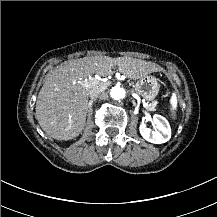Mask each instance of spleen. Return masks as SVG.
Listing matches in <instances>:
<instances>
[{"instance_id":"3e777b00","label":"spleen","mask_w":217,"mask_h":217,"mask_svg":"<svg viewBox=\"0 0 217 217\" xmlns=\"http://www.w3.org/2000/svg\"><path fill=\"white\" fill-rule=\"evenodd\" d=\"M168 106L171 109H176L179 106V97L176 94H171L168 97Z\"/></svg>"}]
</instances>
